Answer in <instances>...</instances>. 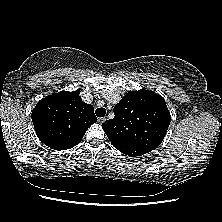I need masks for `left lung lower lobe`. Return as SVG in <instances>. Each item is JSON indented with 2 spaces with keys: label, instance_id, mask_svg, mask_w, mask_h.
Listing matches in <instances>:
<instances>
[{
  "label": "left lung lower lobe",
  "instance_id": "0a47b994",
  "mask_svg": "<svg viewBox=\"0 0 222 222\" xmlns=\"http://www.w3.org/2000/svg\"><path fill=\"white\" fill-rule=\"evenodd\" d=\"M117 149L126 155L134 156V157L141 156L143 154L150 152V150L145 149V148L118 147Z\"/></svg>",
  "mask_w": 222,
  "mask_h": 222
}]
</instances>
